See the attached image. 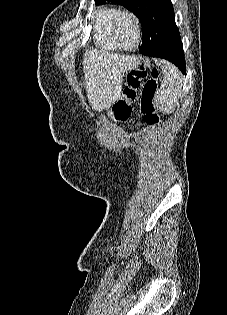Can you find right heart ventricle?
<instances>
[{
  "instance_id": "right-heart-ventricle-1",
  "label": "right heart ventricle",
  "mask_w": 227,
  "mask_h": 315,
  "mask_svg": "<svg viewBox=\"0 0 227 315\" xmlns=\"http://www.w3.org/2000/svg\"><path fill=\"white\" fill-rule=\"evenodd\" d=\"M121 9L110 2L100 4L92 14L95 41L105 50H117L112 36V25Z\"/></svg>"
}]
</instances>
